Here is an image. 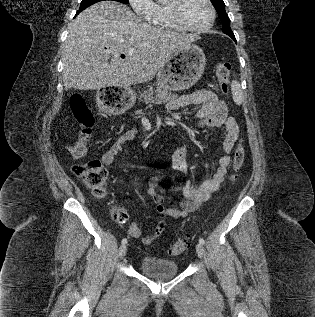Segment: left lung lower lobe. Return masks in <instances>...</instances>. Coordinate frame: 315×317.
Wrapping results in <instances>:
<instances>
[{
	"label": "left lung lower lobe",
	"instance_id": "0a47b994",
	"mask_svg": "<svg viewBox=\"0 0 315 317\" xmlns=\"http://www.w3.org/2000/svg\"><path fill=\"white\" fill-rule=\"evenodd\" d=\"M231 38H232L234 41H236L235 36H232Z\"/></svg>",
	"mask_w": 315,
	"mask_h": 317
}]
</instances>
